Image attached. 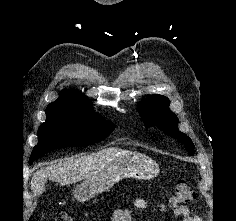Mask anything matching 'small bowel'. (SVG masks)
Instances as JSON below:
<instances>
[{
	"mask_svg": "<svg viewBox=\"0 0 236 221\" xmlns=\"http://www.w3.org/2000/svg\"><path fill=\"white\" fill-rule=\"evenodd\" d=\"M149 207V202L145 199H136L134 201V208L138 210H145ZM132 209H117L113 212L110 221H132ZM176 217H182V221H202L201 218L194 214L187 206H180L174 210Z\"/></svg>",
	"mask_w": 236,
	"mask_h": 221,
	"instance_id": "small-bowel-1",
	"label": "small bowel"
}]
</instances>
